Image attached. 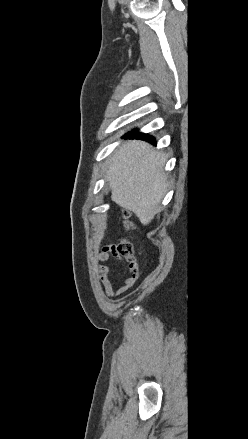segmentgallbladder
<instances>
[{
	"label": "gallbladder",
	"mask_w": 248,
	"mask_h": 439,
	"mask_svg": "<svg viewBox=\"0 0 248 439\" xmlns=\"http://www.w3.org/2000/svg\"><path fill=\"white\" fill-rule=\"evenodd\" d=\"M109 191H110V185H109V183H106V185L104 186L103 192L105 194H108Z\"/></svg>",
	"instance_id": "gallbladder-1"
}]
</instances>
